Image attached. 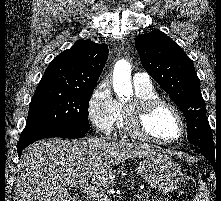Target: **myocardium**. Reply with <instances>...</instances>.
Instances as JSON below:
<instances>
[{
  "label": "myocardium",
  "mask_w": 221,
  "mask_h": 201,
  "mask_svg": "<svg viewBox=\"0 0 221 201\" xmlns=\"http://www.w3.org/2000/svg\"><path fill=\"white\" fill-rule=\"evenodd\" d=\"M170 109L177 117L181 132L178 137L170 140L159 139L151 135L147 128L146 122L150 116L159 108ZM124 127L132 136L160 145H171L179 142L186 133V122L181 111L171 102L161 98L135 99L124 108Z\"/></svg>",
  "instance_id": "obj_1"
}]
</instances>
